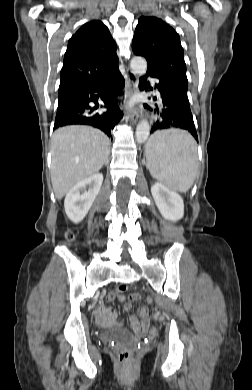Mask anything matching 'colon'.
<instances>
[{"instance_id": "5ec220e1", "label": "colon", "mask_w": 252, "mask_h": 390, "mask_svg": "<svg viewBox=\"0 0 252 390\" xmlns=\"http://www.w3.org/2000/svg\"><path fill=\"white\" fill-rule=\"evenodd\" d=\"M66 238L68 240H71L73 238V235L71 232H67L66 233ZM126 290V287L125 286H119L118 287V291L120 292H124ZM130 299L133 300V301H138L140 300V295L137 294V293H133L130 295ZM133 355H134V351L132 348L130 347H123L119 350L118 352V360L121 362V363H127V362H130L133 358Z\"/></svg>"}]
</instances>
